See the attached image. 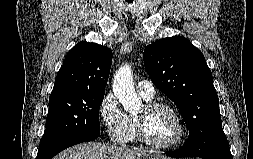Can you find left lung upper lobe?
I'll use <instances>...</instances> for the list:
<instances>
[{
    "label": "left lung upper lobe",
    "mask_w": 253,
    "mask_h": 159,
    "mask_svg": "<svg viewBox=\"0 0 253 159\" xmlns=\"http://www.w3.org/2000/svg\"><path fill=\"white\" fill-rule=\"evenodd\" d=\"M143 60L155 86L180 109L189 138L204 143L222 129L211 70L201 51L188 39H160L145 48Z\"/></svg>",
    "instance_id": "1"
}]
</instances>
